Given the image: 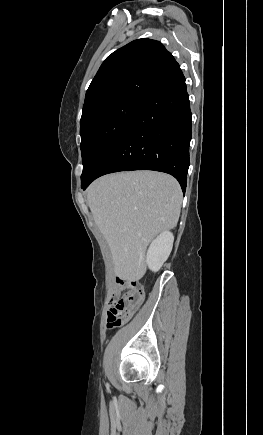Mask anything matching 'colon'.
<instances>
[{"label":"colon","mask_w":263,"mask_h":435,"mask_svg":"<svg viewBox=\"0 0 263 435\" xmlns=\"http://www.w3.org/2000/svg\"><path fill=\"white\" fill-rule=\"evenodd\" d=\"M117 290L121 294L108 310V327L116 328L128 321L141 305L144 292L136 280H119Z\"/></svg>","instance_id":"obj_1"}]
</instances>
